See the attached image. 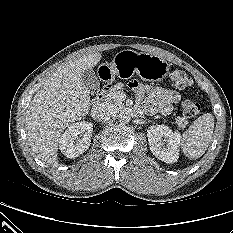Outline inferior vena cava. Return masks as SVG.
I'll use <instances>...</instances> for the list:
<instances>
[{
  "mask_svg": "<svg viewBox=\"0 0 233 233\" xmlns=\"http://www.w3.org/2000/svg\"><path fill=\"white\" fill-rule=\"evenodd\" d=\"M113 115V109L107 103H99L91 110V116L94 120L104 121Z\"/></svg>",
  "mask_w": 233,
  "mask_h": 233,
  "instance_id": "602c4592",
  "label": "inferior vena cava"
}]
</instances>
